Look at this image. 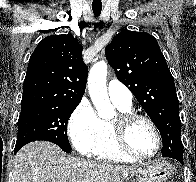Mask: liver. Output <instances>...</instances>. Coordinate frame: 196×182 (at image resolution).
Wrapping results in <instances>:
<instances>
[{
	"label": "liver",
	"mask_w": 196,
	"mask_h": 182,
	"mask_svg": "<svg viewBox=\"0 0 196 182\" xmlns=\"http://www.w3.org/2000/svg\"><path fill=\"white\" fill-rule=\"evenodd\" d=\"M137 170L68 156L51 142L35 141L16 154L13 175L15 182H125Z\"/></svg>",
	"instance_id": "6515ba94"
}]
</instances>
